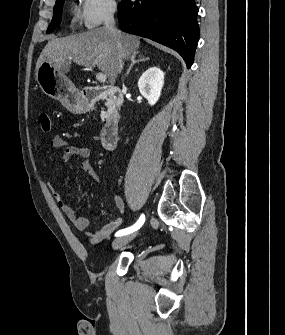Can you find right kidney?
I'll list each match as a JSON object with an SVG mask.
<instances>
[{
	"label": "right kidney",
	"mask_w": 285,
	"mask_h": 335,
	"mask_svg": "<svg viewBox=\"0 0 285 335\" xmlns=\"http://www.w3.org/2000/svg\"><path fill=\"white\" fill-rule=\"evenodd\" d=\"M164 84V72L160 68H149L138 80L140 94L148 100L150 106H154L161 96Z\"/></svg>",
	"instance_id": "ca27d5eb"
}]
</instances>
